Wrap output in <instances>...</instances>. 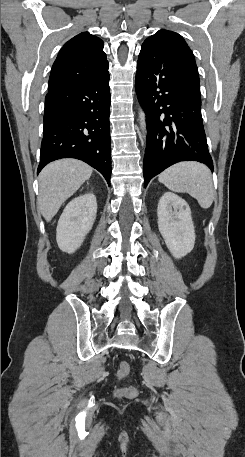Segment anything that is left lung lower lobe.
I'll return each mask as SVG.
<instances>
[{
  "label": "left lung lower lobe",
  "mask_w": 245,
  "mask_h": 457,
  "mask_svg": "<svg viewBox=\"0 0 245 457\" xmlns=\"http://www.w3.org/2000/svg\"><path fill=\"white\" fill-rule=\"evenodd\" d=\"M135 88L147 123L144 187L180 161H198L213 171L201 116L200 85L171 47L141 50Z\"/></svg>",
  "instance_id": "0a47b994"
}]
</instances>
